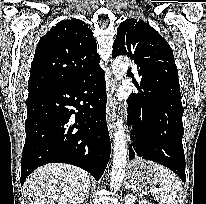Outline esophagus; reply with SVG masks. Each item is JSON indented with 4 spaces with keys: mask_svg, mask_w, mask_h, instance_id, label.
Segmentation results:
<instances>
[{
    "mask_svg": "<svg viewBox=\"0 0 206 204\" xmlns=\"http://www.w3.org/2000/svg\"><path fill=\"white\" fill-rule=\"evenodd\" d=\"M116 97H117V82L114 78L111 79L110 89L107 102V125L111 137L113 136L116 120Z\"/></svg>",
    "mask_w": 206,
    "mask_h": 204,
    "instance_id": "obj_1",
    "label": "esophagus"
}]
</instances>
